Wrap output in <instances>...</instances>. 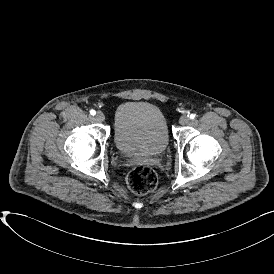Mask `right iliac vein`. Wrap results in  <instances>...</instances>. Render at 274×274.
<instances>
[{"label":"right iliac vein","instance_id":"obj_1","mask_svg":"<svg viewBox=\"0 0 274 274\" xmlns=\"http://www.w3.org/2000/svg\"><path fill=\"white\" fill-rule=\"evenodd\" d=\"M95 118L98 122H103L105 120V115L103 114V112L98 111L95 115Z\"/></svg>","mask_w":274,"mask_h":274}]
</instances>
